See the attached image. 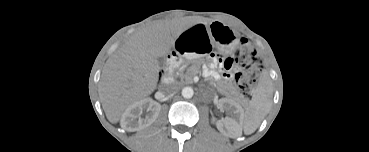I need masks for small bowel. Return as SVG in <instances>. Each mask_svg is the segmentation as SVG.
Wrapping results in <instances>:
<instances>
[{"label": "small bowel", "instance_id": "c3829d8e", "mask_svg": "<svg viewBox=\"0 0 369 152\" xmlns=\"http://www.w3.org/2000/svg\"><path fill=\"white\" fill-rule=\"evenodd\" d=\"M206 74H207V75H213L214 73H213V71H211V70H207V71H206Z\"/></svg>", "mask_w": 369, "mask_h": 152}]
</instances>
